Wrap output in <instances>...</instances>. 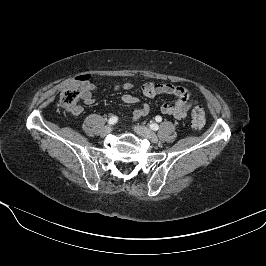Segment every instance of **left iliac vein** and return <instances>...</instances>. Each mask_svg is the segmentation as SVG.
<instances>
[{
	"mask_svg": "<svg viewBox=\"0 0 266 266\" xmlns=\"http://www.w3.org/2000/svg\"><path fill=\"white\" fill-rule=\"evenodd\" d=\"M134 130L139 136L147 138L154 143L158 141L157 135L147 127L137 125L134 127Z\"/></svg>",
	"mask_w": 266,
	"mask_h": 266,
	"instance_id": "obj_1",
	"label": "left iliac vein"
}]
</instances>
